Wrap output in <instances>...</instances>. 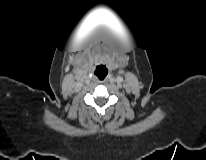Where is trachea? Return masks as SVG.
I'll return each mask as SVG.
<instances>
[{
	"mask_svg": "<svg viewBox=\"0 0 206 160\" xmlns=\"http://www.w3.org/2000/svg\"><path fill=\"white\" fill-rule=\"evenodd\" d=\"M95 74L98 76V78H99L100 80H103V79L105 78V76H106L105 71H101V70L96 71Z\"/></svg>",
	"mask_w": 206,
	"mask_h": 160,
	"instance_id": "trachea-1",
	"label": "trachea"
}]
</instances>
